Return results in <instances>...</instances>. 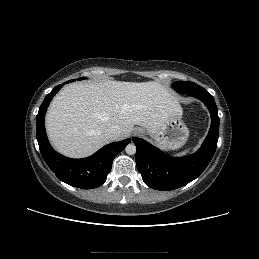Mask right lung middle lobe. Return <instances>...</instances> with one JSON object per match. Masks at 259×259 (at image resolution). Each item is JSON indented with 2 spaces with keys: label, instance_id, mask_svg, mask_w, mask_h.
I'll use <instances>...</instances> for the list:
<instances>
[{
  "label": "right lung middle lobe",
  "instance_id": "dd1d6c3e",
  "mask_svg": "<svg viewBox=\"0 0 259 259\" xmlns=\"http://www.w3.org/2000/svg\"><path fill=\"white\" fill-rule=\"evenodd\" d=\"M82 79H84V77H83V78H78V80H82ZM71 81L73 82V81H75V79H73V80H71Z\"/></svg>",
  "mask_w": 259,
  "mask_h": 259
}]
</instances>
